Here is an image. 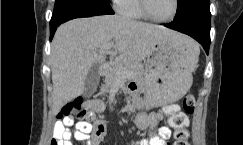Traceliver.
<instances>
[{"label": "liver", "instance_id": "1", "mask_svg": "<svg viewBox=\"0 0 243 145\" xmlns=\"http://www.w3.org/2000/svg\"><path fill=\"white\" fill-rule=\"evenodd\" d=\"M167 40L176 44L190 41L165 27L118 15L78 18L60 25L51 44L53 112L83 93L87 74L102 61V47L107 43L113 42L123 59L139 63L157 43Z\"/></svg>", "mask_w": 243, "mask_h": 145}]
</instances>
